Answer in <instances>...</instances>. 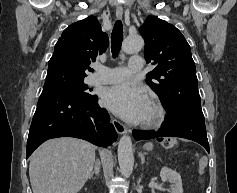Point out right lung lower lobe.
I'll use <instances>...</instances> for the list:
<instances>
[{"label": "right lung lower lobe", "mask_w": 237, "mask_h": 193, "mask_svg": "<svg viewBox=\"0 0 237 193\" xmlns=\"http://www.w3.org/2000/svg\"><path fill=\"white\" fill-rule=\"evenodd\" d=\"M57 137H75L107 147L117 134L96 95L75 99L61 91L43 90L30 126L26 157L44 141Z\"/></svg>", "instance_id": "obj_1"}]
</instances>
